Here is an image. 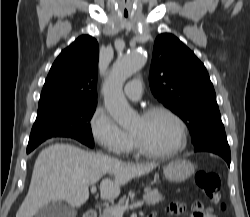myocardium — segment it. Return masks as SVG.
<instances>
[{"instance_id":"1","label":"myocardium","mask_w":250,"mask_h":217,"mask_svg":"<svg viewBox=\"0 0 250 217\" xmlns=\"http://www.w3.org/2000/svg\"><path fill=\"white\" fill-rule=\"evenodd\" d=\"M155 113H164L175 121L180 132L178 144L172 150L165 152H157L148 148L134 133L131 132V137L133 139L134 146L140 154L145 155L147 157L156 159H166L173 157L178 153H180L187 145V140H188L187 125L175 111L164 105H152L145 108L141 113V117L146 118Z\"/></svg>"}]
</instances>
